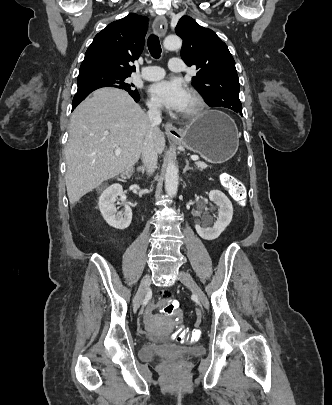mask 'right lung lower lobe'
<instances>
[{"instance_id": "right-lung-lower-lobe-1", "label": "right lung lower lobe", "mask_w": 332, "mask_h": 405, "mask_svg": "<svg viewBox=\"0 0 332 405\" xmlns=\"http://www.w3.org/2000/svg\"><path fill=\"white\" fill-rule=\"evenodd\" d=\"M101 88L99 86L97 87H91L82 91H77V93L75 94L74 98H73V103H72V111L77 107V105L84 100L92 91ZM129 94L134 98V100L136 102H138L140 100V96L138 93H133V92H129Z\"/></svg>"}]
</instances>
